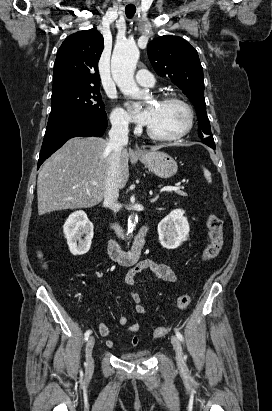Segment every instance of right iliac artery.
Instances as JSON below:
<instances>
[{"label":"right iliac artery","mask_w":272,"mask_h":411,"mask_svg":"<svg viewBox=\"0 0 272 411\" xmlns=\"http://www.w3.org/2000/svg\"><path fill=\"white\" fill-rule=\"evenodd\" d=\"M90 334H91V330H87L86 333H85V335H84V340H85V341L88 340Z\"/></svg>","instance_id":"1"}]
</instances>
